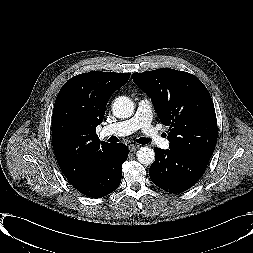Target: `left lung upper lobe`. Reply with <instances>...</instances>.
<instances>
[{
  "instance_id": "left-lung-upper-lobe-1",
  "label": "left lung upper lobe",
  "mask_w": 253,
  "mask_h": 253,
  "mask_svg": "<svg viewBox=\"0 0 253 253\" xmlns=\"http://www.w3.org/2000/svg\"><path fill=\"white\" fill-rule=\"evenodd\" d=\"M133 81L151 98L160 121L169 126L171 149L212 155L217 120L211 96L194 75L170 68L133 73Z\"/></svg>"
}]
</instances>
